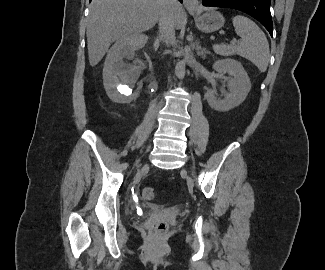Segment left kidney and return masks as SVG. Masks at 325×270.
Here are the masks:
<instances>
[{
  "mask_svg": "<svg viewBox=\"0 0 325 270\" xmlns=\"http://www.w3.org/2000/svg\"><path fill=\"white\" fill-rule=\"evenodd\" d=\"M213 69L219 76L228 73L231 78L228 81L229 93L225 94L224 99H218L215 90H207L205 97L210 107L225 112L240 105L251 89L250 79L242 64L233 59H223L216 61L213 64Z\"/></svg>",
  "mask_w": 325,
  "mask_h": 270,
  "instance_id": "left-kidney-1",
  "label": "left kidney"
}]
</instances>
